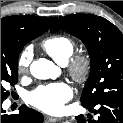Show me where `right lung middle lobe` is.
I'll use <instances>...</instances> for the list:
<instances>
[{
  "label": "right lung middle lobe",
  "instance_id": "1",
  "mask_svg": "<svg viewBox=\"0 0 123 123\" xmlns=\"http://www.w3.org/2000/svg\"><path fill=\"white\" fill-rule=\"evenodd\" d=\"M41 34L27 37L20 43H16L10 49L1 50V101H4L9 92L5 89L9 84L14 85L18 81V55L23 49L24 45L29 41L35 39Z\"/></svg>",
  "mask_w": 123,
  "mask_h": 123
}]
</instances>
